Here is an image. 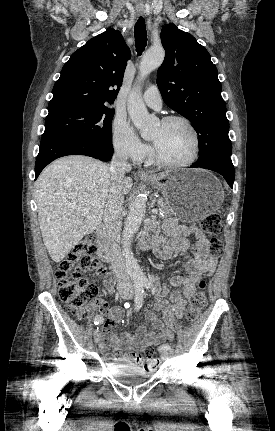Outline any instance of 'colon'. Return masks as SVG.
Masks as SVG:
<instances>
[{
  "instance_id": "1",
  "label": "colon",
  "mask_w": 275,
  "mask_h": 431,
  "mask_svg": "<svg viewBox=\"0 0 275 431\" xmlns=\"http://www.w3.org/2000/svg\"><path fill=\"white\" fill-rule=\"evenodd\" d=\"M199 225L202 232L213 236L208 247L209 254L215 258L219 257L223 251V242L216 237L222 231L219 215L209 214L201 219ZM95 252L96 246L93 237L87 236L80 240L68 256L61 261L55 272L61 301L79 319L87 318L98 294V288L88 280L83 279L82 273L89 271L101 274L104 271ZM205 287V282L200 281L199 291L190 296L189 305L185 312V318L190 323L199 318L206 305ZM140 358L143 365L148 369L158 365L153 348H145Z\"/></svg>"
}]
</instances>
